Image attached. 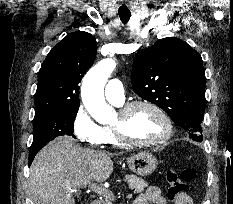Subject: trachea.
Segmentation results:
<instances>
[{
    "mask_svg": "<svg viewBox=\"0 0 233 204\" xmlns=\"http://www.w3.org/2000/svg\"><path fill=\"white\" fill-rule=\"evenodd\" d=\"M118 14H119L120 20L123 23H127L130 19V16H131L130 12H119Z\"/></svg>",
    "mask_w": 233,
    "mask_h": 204,
    "instance_id": "trachea-1",
    "label": "trachea"
}]
</instances>
